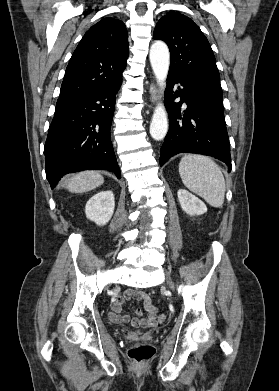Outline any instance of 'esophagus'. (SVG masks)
Segmentation results:
<instances>
[{"label": "esophagus", "mask_w": 279, "mask_h": 391, "mask_svg": "<svg viewBox=\"0 0 279 391\" xmlns=\"http://www.w3.org/2000/svg\"><path fill=\"white\" fill-rule=\"evenodd\" d=\"M150 93H151V101L152 103L157 102L159 99V93H158V88L155 84H152L150 87Z\"/></svg>", "instance_id": "obj_1"}]
</instances>
